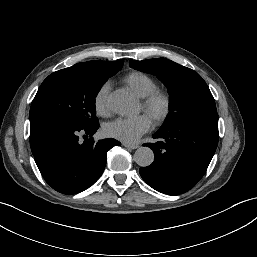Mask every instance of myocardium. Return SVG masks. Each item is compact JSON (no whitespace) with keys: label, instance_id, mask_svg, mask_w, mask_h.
Instances as JSON below:
<instances>
[{"label":"myocardium","instance_id":"obj_1","mask_svg":"<svg viewBox=\"0 0 257 257\" xmlns=\"http://www.w3.org/2000/svg\"><path fill=\"white\" fill-rule=\"evenodd\" d=\"M142 106L157 122H161L169 113L170 99L165 92L154 90L143 98Z\"/></svg>","mask_w":257,"mask_h":257}]
</instances>
